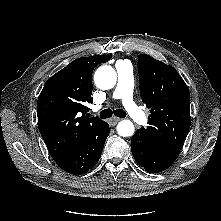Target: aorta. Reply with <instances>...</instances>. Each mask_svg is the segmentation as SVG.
Returning a JSON list of instances; mask_svg holds the SVG:
<instances>
[{
	"mask_svg": "<svg viewBox=\"0 0 221 221\" xmlns=\"http://www.w3.org/2000/svg\"><path fill=\"white\" fill-rule=\"evenodd\" d=\"M117 81L116 71L108 65L99 67L94 75L96 86L102 90H108L115 86ZM117 132L122 137L132 136L134 133V125L129 120H122L117 125Z\"/></svg>",
	"mask_w": 221,
	"mask_h": 221,
	"instance_id": "obj_1",
	"label": "aorta"
}]
</instances>
